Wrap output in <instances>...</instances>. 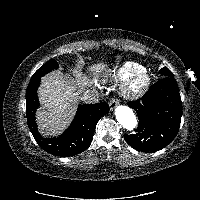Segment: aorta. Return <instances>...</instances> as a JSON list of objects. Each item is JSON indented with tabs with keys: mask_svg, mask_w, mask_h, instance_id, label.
Here are the masks:
<instances>
[{
	"mask_svg": "<svg viewBox=\"0 0 200 200\" xmlns=\"http://www.w3.org/2000/svg\"><path fill=\"white\" fill-rule=\"evenodd\" d=\"M115 116L119 124L126 130L132 131L137 127L138 120L133 110L128 106H117L115 109Z\"/></svg>",
	"mask_w": 200,
	"mask_h": 200,
	"instance_id": "762f6f07",
	"label": "aorta"
}]
</instances>
